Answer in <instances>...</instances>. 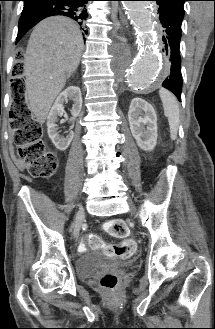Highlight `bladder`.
<instances>
[{"mask_svg":"<svg viewBox=\"0 0 215 329\" xmlns=\"http://www.w3.org/2000/svg\"><path fill=\"white\" fill-rule=\"evenodd\" d=\"M133 260H119L99 252H86L76 260L77 275L86 279L103 269L123 268L133 264Z\"/></svg>","mask_w":215,"mask_h":329,"instance_id":"31cf9c89","label":"bladder"}]
</instances>
